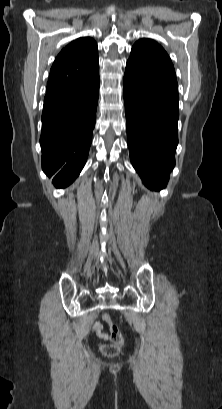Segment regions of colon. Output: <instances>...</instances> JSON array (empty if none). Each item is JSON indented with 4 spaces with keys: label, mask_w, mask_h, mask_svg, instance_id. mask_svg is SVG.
I'll return each instance as SVG.
<instances>
[{
    "label": "colon",
    "mask_w": 222,
    "mask_h": 409,
    "mask_svg": "<svg viewBox=\"0 0 222 409\" xmlns=\"http://www.w3.org/2000/svg\"><path fill=\"white\" fill-rule=\"evenodd\" d=\"M103 319L110 325L111 343L102 346V351L107 356H116L124 345V338L118 326L110 322L108 314L104 313Z\"/></svg>",
    "instance_id": "obj_1"
}]
</instances>
